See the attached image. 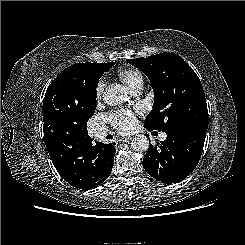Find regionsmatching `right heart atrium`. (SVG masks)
<instances>
[{
	"label": "right heart atrium",
	"mask_w": 245,
	"mask_h": 245,
	"mask_svg": "<svg viewBox=\"0 0 245 245\" xmlns=\"http://www.w3.org/2000/svg\"><path fill=\"white\" fill-rule=\"evenodd\" d=\"M105 85H106V81L104 78H101L98 83H97V86H96V93L97 95H101L104 88H105Z\"/></svg>",
	"instance_id": "1"
}]
</instances>
